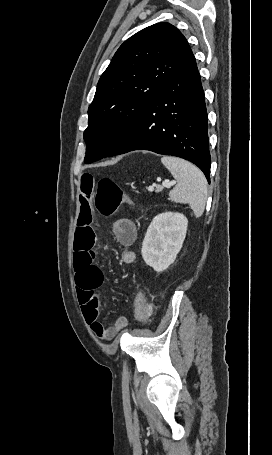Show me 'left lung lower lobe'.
I'll return each mask as SVG.
<instances>
[{"label":"left lung lower lobe","instance_id":"0a47b994","mask_svg":"<svg viewBox=\"0 0 272 455\" xmlns=\"http://www.w3.org/2000/svg\"><path fill=\"white\" fill-rule=\"evenodd\" d=\"M207 120L194 60L148 104L110 156L133 150L177 156L197 165L210 182Z\"/></svg>","mask_w":272,"mask_h":455}]
</instances>
